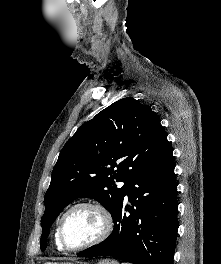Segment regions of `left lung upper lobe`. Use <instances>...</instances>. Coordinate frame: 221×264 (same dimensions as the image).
Returning <instances> with one entry per match:
<instances>
[{"mask_svg": "<svg viewBox=\"0 0 221 264\" xmlns=\"http://www.w3.org/2000/svg\"><path fill=\"white\" fill-rule=\"evenodd\" d=\"M167 134L149 106L127 97L84 123L61 150L44 197L41 250L60 212L79 197L94 198L111 214L128 183L159 154ZM117 170H114V168ZM116 182H124L117 188Z\"/></svg>", "mask_w": 221, "mask_h": 264, "instance_id": "left-lung-upper-lobe-1", "label": "left lung upper lobe"}]
</instances>
